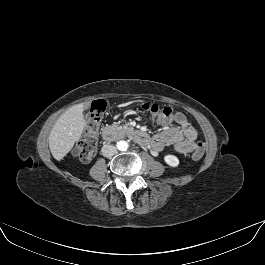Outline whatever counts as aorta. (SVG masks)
<instances>
[{
	"mask_svg": "<svg viewBox=\"0 0 265 265\" xmlns=\"http://www.w3.org/2000/svg\"><path fill=\"white\" fill-rule=\"evenodd\" d=\"M116 147L120 151H126L129 147V144H128V142L121 140V141L117 142Z\"/></svg>",
	"mask_w": 265,
	"mask_h": 265,
	"instance_id": "762f6f07",
	"label": "aorta"
}]
</instances>
